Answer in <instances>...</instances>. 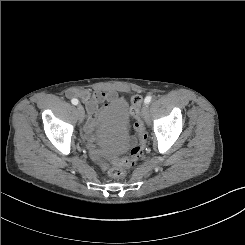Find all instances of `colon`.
Returning <instances> with one entry per match:
<instances>
[{
    "label": "colon",
    "mask_w": 245,
    "mask_h": 245,
    "mask_svg": "<svg viewBox=\"0 0 245 245\" xmlns=\"http://www.w3.org/2000/svg\"><path fill=\"white\" fill-rule=\"evenodd\" d=\"M141 104L142 97L140 95H134L131 98L130 110L135 119L134 130L137 135V143L132 147L129 157L117 161H110L96 151H93L91 154L98 168L112 177H124L126 175V170L133 167L144 154L147 134L142 120Z\"/></svg>",
    "instance_id": "1"
}]
</instances>
